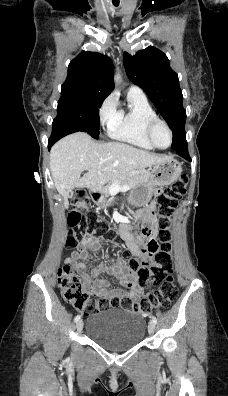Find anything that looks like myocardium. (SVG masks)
I'll list each match as a JSON object with an SVG mask.
<instances>
[{"mask_svg":"<svg viewBox=\"0 0 228 396\" xmlns=\"http://www.w3.org/2000/svg\"><path fill=\"white\" fill-rule=\"evenodd\" d=\"M158 124L163 125L167 129V131L169 133L170 141H169V144L166 147H159L154 141L153 131H154L155 126L158 125ZM145 135H146L147 140L150 142V144L154 148L159 149V150H165V149L169 148L172 145V142H173L172 129L170 128L169 124L164 119L159 118L158 116H156L154 118H151V119H149L146 122Z\"/></svg>","mask_w":228,"mask_h":396,"instance_id":"1","label":"myocardium"}]
</instances>
